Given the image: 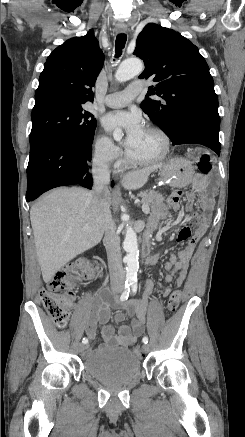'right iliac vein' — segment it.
Segmentation results:
<instances>
[{"label": "right iliac vein", "instance_id": "1", "mask_svg": "<svg viewBox=\"0 0 245 437\" xmlns=\"http://www.w3.org/2000/svg\"><path fill=\"white\" fill-rule=\"evenodd\" d=\"M85 345L84 344H79V346H78V350H79V352H83L84 350H85Z\"/></svg>", "mask_w": 245, "mask_h": 437}]
</instances>
